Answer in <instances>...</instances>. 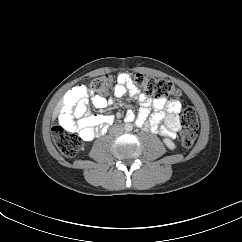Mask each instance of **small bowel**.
Masks as SVG:
<instances>
[{
	"label": "small bowel",
	"mask_w": 242,
	"mask_h": 242,
	"mask_svg": "<svg viewBox=\"0 0 242 242\" xmlns=\"http://www.w3.org/2000/svg\"><path fill=\"white\" fill-rule=\"evenodd\" d=\"M127 92L137 98L141 104V109L137 116V123H145L150 106H153L157 112L149 120L148 127L152 132L159 129V124L163 121L164 126L160 129L162 135L168 138H174L176 132L180 129L178 114L182 105L178 100L167 101L164 98H151L139 92L138 88L128 80L125 74L118 76V83L115 86V96L123 97ZM91 103L96 109H104L108 101L99 95L91 98ZM89 98L83 87L74 88L66 95L60 114V123L70 132L77 133L83 140L89 141L96 135L103 132L105 127L113 122L110 115H94L88 112ZM128 120L134 119L133 111L126 114Z\"/></svg>",
	"instance_id": "c3829d8e"
}]
</instances>
